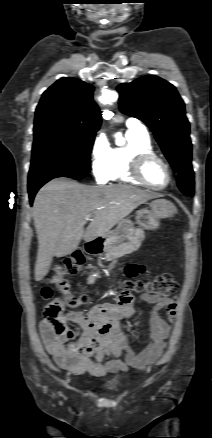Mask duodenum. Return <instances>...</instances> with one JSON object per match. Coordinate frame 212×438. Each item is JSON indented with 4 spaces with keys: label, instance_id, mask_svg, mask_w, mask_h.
I'll return each mask as SVG.
<instances>
[{
    "label": "duodenum",
    "instance_id": "duodenum-1",
    "mask_svg": "<svg viewBox=\"0 0 212 438\" xmlns=\"http://www.w3.org/2000/svg\"><path fill=\"white\" fill-rule=\"evenodd\" d=\"M102 247V240L101 239H95V240H89L85 244V249L88 254H96L100 251Z\"/></svg>",
    "mask_w": 212,
    "mask_h": 438
}]
</instances>
